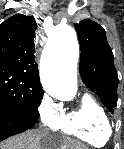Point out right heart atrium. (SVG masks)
Instances as JSON below:
<instances>
[{"instance_id": "d8ad5b80", "label": "right heart atrium", "mask_w": 124, "mask_h": 149, "mask_svg": "<svg viewBox=\"0 0 124 149\" xmlns=\"http://www.w3.org/2000/svg\"><path fill=\"white\" fill-rule=\"evenodd\" d=\"M38 117L43 126L55 130L63 115L61 108L48 95H44L38 105Z\"/></svg>"}]
</instances>
